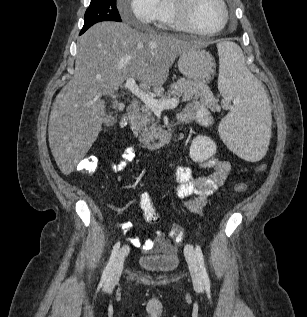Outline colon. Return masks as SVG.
<instances>
[{
    "mask_svg": "<svg viewBox=\"0 0 307 317\" xmlns=\"http://www.w3.org/2000/svg\"><path fill=\"white\" fill-rule=\"evenodd\" d=\"M127 125V120L125 117H122L119 120V126L121 128H124ZM98 167V158L95 155H87L85 156L79 163H78V170L79 172L85 174V175H93L97 171ZM266 169L265 164H259L256 167L257 172H263ZM248 189V183L247 182H238L234 185V192L235 193H243ZM140 208L143 213V216L145 220L150 224H157L160 220V216L157 212V210L154 207L153 201L149 194L144 193L141 196L140 199ZM178 240L182 239V231L174 227L171 232Z\"/></svg>",
    "mask_w": 307,
    "mask_h": 317,
    "instance_id": "5ec220e1",
    "label": "colon"
}]
</instances>
